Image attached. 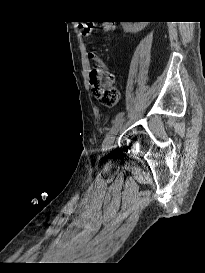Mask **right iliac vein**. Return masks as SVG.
<instances>
[{
	"label": "right iliac vein",
	"mask_w": 205,
	"mask_h": 273,
	"mask_svg": "<svg viewBox=\"0 0 205 273\" xmlns=\"http://www.w3.org/2000/svg\"><path fill=\"white\" fill-rule=\"evenodd\" d=\"M124 123V118L121 117L115 124L114 126L111 128V130L109 131L108 135L106 136L104 143H103V150L104 151H108L111 149L112 144L115 140L116 135L119 133V131L121 130L122 126Z\"/></svg>",
	"instance_id": "right-iliac-vein-1"
}]
</instances>
